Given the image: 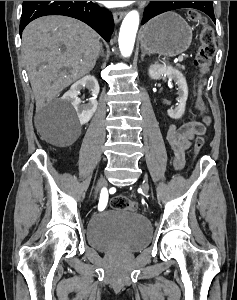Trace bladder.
I'll use <instances>...</instances> for the list:
<instances>
[{
  "label": "bladder",
  "mask_w": 237,
  "mask_h": 300,
  "mask_svg": "<svg viewBox=\"0 0 237 300\" xmlns=\"http://www.w3.org/2000/svg\"><path fill=\"white\" fill-rule=\"evenodd\" d=\"M88 243L104 251H138L152 237L150 222L126 210H109L93 215L87 224Z\"/></svg>",
  "instance_id": "1"
}]
</instances>
